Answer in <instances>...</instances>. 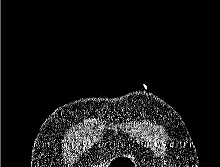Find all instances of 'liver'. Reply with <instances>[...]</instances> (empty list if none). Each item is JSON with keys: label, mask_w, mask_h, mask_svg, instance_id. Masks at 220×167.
<instances>
[{"label": "liver", "mask_w": 220, "mask_h": 167, "mask_svg": "<svg viewBox=\"0 0 220 167\" xmlns=\"http://www.w3.org/2000/svg\"><path fill=\"white\" fill-rule=\"evenodd\" d=\"M108 165H109V162L107 161V162H104V163H100L98 166H96V167H108ZM91 167H94V165L93 166H91Z\"/></svg>", "instance_id": "6515ba94"}]
</instances>
